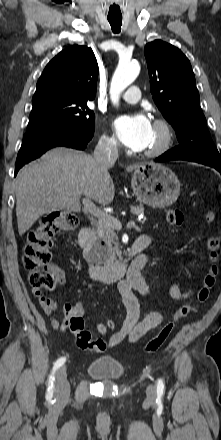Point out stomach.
<instances>
[{"instance_id":"0dacf381","label":"stomach","mask_w":221,"mask_h":440,"mask_svg":"<svg viewBox=\"0 0 221 440\" xmlns=\"http://www.w3.org/2000/svg\"><path fill=\"white\" fill-rule=\"evenodd\" d=\"M131 185L141 202L155 208L172 205L180 194V182L176 174L159 163L140 164L134 170Z\"/></svg>"}]
</instances>
